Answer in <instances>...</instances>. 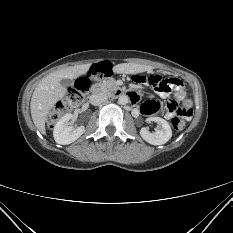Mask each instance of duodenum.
Wrapping results in <instances>:
<instances>
[{"mask_svg":"<svg viewBox=\"0 0 233 233\" xmlns=\"http://www.w3.org/2000/svg\"><path fill=\"white\" fill-rule=\"evenodd\" d=\"M90 89L94 93L101 92L103 90V85L101 83H96V84L92 85ZM115 95H117V96H123V95L127 96L132 101H136V99H137V97H136V95L134 93H128V92H125L122 89H116L115 90ZM134 114H135V112H134Z\"/></svg>","mask_w":233,"mask_h":233,"instance_id":"duodenum-1","label":"duodenum"}]
</instances>
